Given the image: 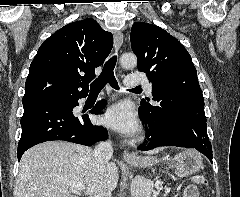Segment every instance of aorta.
Returning <instances> with one entry per match:
<instances>
[{"label":"aorta","mask_w":240,"mask_h":197,"mask_svg":"<svg viewBox=\"0 0 240 197\" xmlns=\"http://www.w3.org/2000/svg\"><path fill=\"white\" fill-rule=\"evenodd\" d=\"M120 62L124 68H133L137 65V58L134 54L125 53L121 56ZM140 183H141L142 191L140 193H138V195H141L143 197H150V196H147V192L149 190L150 183L145 179H142L140 181Z\"/></svg>","instance_id":"1"}]
</instances>
